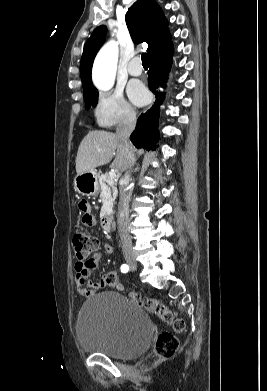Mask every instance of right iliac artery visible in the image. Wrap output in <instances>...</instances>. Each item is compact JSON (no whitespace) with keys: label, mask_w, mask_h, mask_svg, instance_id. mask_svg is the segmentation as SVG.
Here are the masks:
<instances>
[{"label":"right iliac artery","mask_w":267,"mask_h":391,"mask_svg":"<svg viewBox=\"0 0 267 391\" xmlns=\"http://www.w3.org/2000/svg\"><path fill=\"white\" fill-rule=\"evenodd\" d=\"M128 270H129V267H128V265H126V264H123V265L121 266V271H122L123 273H126V272H128Z\"/></svg>","instance_id":"obj_1"}]
</instances>
